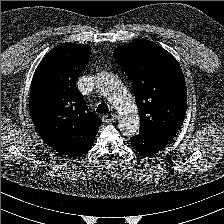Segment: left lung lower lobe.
<instances>
[{
  "instance_id": "left-lung-lower-lobe-1",
  "label": "left lung lower lobe",
  "mask_w": 224,
  "mask_h": 224,
  "mask_svg": "<svg viewBox=\"0 0 224 224\" xmlns=\"http://www.w3.org/2000/svg\"><path fill=\"white\" fill-rule=\"evenodd\" d=\"M133 148L143 155H151L160 151L167 143L152 134L140 131L130 138Z\"/></svg>"
}]
</instances>
